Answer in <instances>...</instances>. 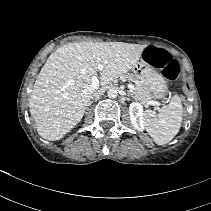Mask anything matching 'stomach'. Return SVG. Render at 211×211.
<instances>
[{"label": "stomach", "mask_w": 211, "mask_h": 211, "mask_svg": "<svg viewBox=\"0 0 211 211\" xmlns=\"http://www.w3.org/2000/svg\"><path fill=\"white\" fill-rule=\"evenodd\" d=\"M133 73L136 79L143 82L151 91L152 97L161 99L167 92L165 79L157 73L146 61L141 59L133 67Z\"/></svg>", "instance_id": "0dacf381"}]
</instances>
